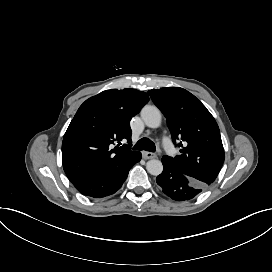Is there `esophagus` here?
<instances>
[{
  "instance_id": "obj_1",
  "label": "esophagus",
  "mask_w": 272,
  "mask_h": 272,
  "mask_svg": "<svg viewBox=\"0 0 272 272\" xmlns=\"http://www.w3.org/2000/svg\"><path fill=\"white\" fill-rule=\"evenodd\" d=\"M142 157H143V159H152V158H156L157 155L154 152L143 151L142 152Z\"/></svg>"
}]
</instances>
